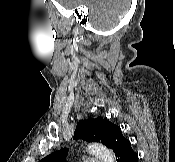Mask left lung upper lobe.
I'll return each mask as SVG.
<instances>
[{"mask_svg": "<svg viewBox=\"0 0 175 162\" xmlns=\"http://www.w3.org/2000/svg\"><path fill=\"white\" fill-rule=\"evenodd\" d=\"M122 136L120 127L102 117H97L79 121L74 133V140L84 139L89 142H101L113 149ZM68 151L67 148L60 149L39 162H64Z\"/></svg>", "mask_w": 175, "mask_h": 162, "instance_id": "1", "label": "left lung upper lobe"}]
</instances>
